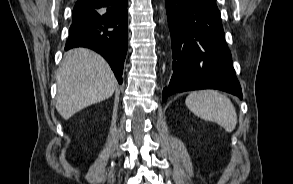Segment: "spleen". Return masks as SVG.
I'll list each match as a JSON object with an SVG mask.
<instances>
[{
  "label": "spleen",
  "instance_id": "obj_1",
  "mask_svg": "<svg viewBox=\"0 0 293 184\" xmlns=\"http://www.w3.org/2000/svg\"><path fill=\"white\" fill-rule=\"evenodd\" d=\"M188 109L201 119L213 121L227 132L237 125V113L231 100L215 90L191 92L186 98Z\"/></svg>",
  "mask_w": 293,
  "mask_h": 184
}]
</instances>
